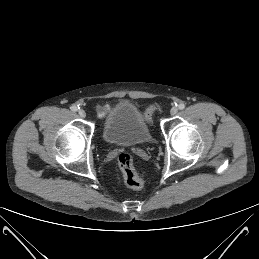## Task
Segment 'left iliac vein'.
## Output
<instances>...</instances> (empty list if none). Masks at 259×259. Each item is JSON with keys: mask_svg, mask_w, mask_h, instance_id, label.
<instances>
[{"mask_svg": "<svg viewBox=\"0 0 259 259\" xmlns=\"http://www.w3.org/2000/svg\"><path fill=\"white\" fill-rule=\"evenodd\" d=\"M178 113V108L177 107H173L171 110H170V114L172 116L176 115Z\"/></svg>", "mask_w": 259, "mask_h": 259, "instance_id": "1", "label": "left iliac vein"}]
</instances>
